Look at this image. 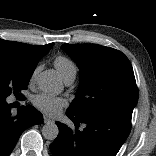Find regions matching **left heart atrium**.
Masks as SVG:
<instances>
[{
    "mask_svg": "<svg viewBox=\"0 0 156 156\" xmlns=\"http://www.w3.org/2000/svg\"><path fill=\"white\" fill-rule=\"evenodd\" d=\"M33 103L37 109L50 116L57 115L67 104L65 99L47 93L36 95Z\"/></svg>",
    "mask_w": 156,
    "mask_h": 156,
    "instance_id": "left-heart-atrium-1",
    "label": "left heart atrium"
}]
</instances>
